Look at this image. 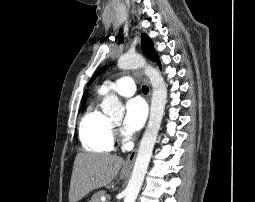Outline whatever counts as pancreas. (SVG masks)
<instances>
[{"label": "pancreas", "instance_id": "cf45deb5", "mask_svg": "<svg viewBox=\"0 0 255 202\" xmlns=\"http://www.w3.org/2000/svg\"><path fill=\"white\" fill-rule=\"evenodd\" d=\"M106 192L105 191H98L97 193H95L91 200L89 202H101V197L105 196Z\"/></svg>", "mask_w": 255, "mask_h": 202}]
</instances>
